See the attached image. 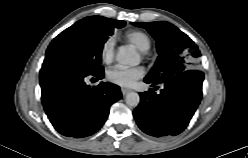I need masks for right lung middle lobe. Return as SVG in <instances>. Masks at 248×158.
Here are the masks:
<instances>
[{
    "label": "right lung middle lobe",
    "instance_id": "1",
    "mask_svg": "<svg viewBox=\"0 0 248 158\" xmlns=\"http://www.w3.org/2000/svg\"><path fill=\"white\" fill-rule=\"evenodd\" d=\"M103 29L87 17L61 32L48 46L42 67L70 68L84 73L103 70L101 56L104 43L114 28Z\"/></svg>",
    "mask_w": 248,
    "mask_h": 158
}]
</instances>
